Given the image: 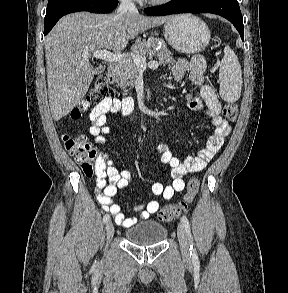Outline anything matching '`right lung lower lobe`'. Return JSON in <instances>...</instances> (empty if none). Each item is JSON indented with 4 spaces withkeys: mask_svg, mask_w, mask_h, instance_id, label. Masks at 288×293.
Listing matches in <instances>:
<instances>
[{
    "mask_svg": "<svg viewBox=\"0 0 288 293\" xmlns=\"http://www.w3.org/2000/svg\"><path fill=\"white\" fill-rule=\"evenodd\" d=\"M118 5V0L98 1V0H70L50 9H47L45 16L44 35H47L57 21L64 15L78 12L89 11L92 13H109Z\"/></svg>",
    "mask_w": 288,
    "mask_h": 293,
    "instance_id": "98d812e1",
    "label": "right lung lower lobe"
}]
</instances>
